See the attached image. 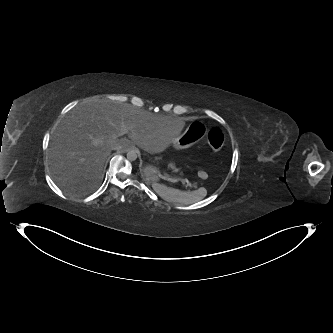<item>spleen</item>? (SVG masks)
I'll return each mask as SVG.
<instances>
[{"mask_svg":"<svg viewBox=\"0 0 333 333\" xmlns=\"http://www.w3.org/2000/svg\"><path fill=\"white\" fill-rule=\"evenodd\" d=\"M155 192L164 197L167 201L175 203H194L204 199L207 195L205 188H199L192 192H183L177 189L169 188L163 184H152Z\"/></svg>","mask_w":333,"mask_h":333,"instance_id":"3e777b00","label":"spleen"}]
</instances>
